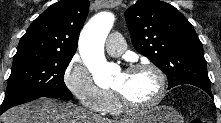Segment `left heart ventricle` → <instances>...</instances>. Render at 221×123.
I'll list each match as a JSON object with an SVG mask.
<instances>
[{"mask_svg":"<svg viewBox=\"0 0 221 123\" xmlns=\"http://www.w3.org/2000/svg\"><path fill=\"white\" fill-rule=\"evenodd\" d=\"M158 80L155 74L149 70L119 73L112 84L113 89L121 91L134 103H147L158 92Z\"/></svg>","mask_w":221,"mask_h":123,"instance_id":"obj_1","label":"left heart ventricle"}]
</instances>
